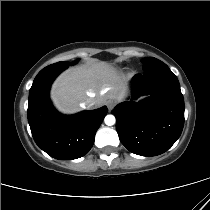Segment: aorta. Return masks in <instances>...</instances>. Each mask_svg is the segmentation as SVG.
Listing matches in <instances>:
<instances>
[{
    "instance_id": "aorta-1",
    "label": "aorta",
    "mask_w": 210,
    "mask_h": 210,
    "mask_svg": "<svg viewBox=\"0 0 210 210\" xmlns=\"http://www.w3.org/2000/svg\"><path fill=\"white\" fill-rule=\"evenodd\" d=\"M105 121V124L108 125V126H112L115 124L116 122V119L113 115H107L104 119Z\"/></svg>"
}]
</instances>
